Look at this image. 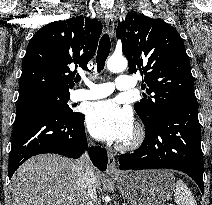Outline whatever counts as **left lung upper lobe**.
I'll return each instance as SVG.
<instances>
[{"instance_id":"left-lung-upper-lobe-1","label":"left lung upper lobe","mask_w":212,"mask_h":205,"mask_svg":"<svg viewBox=\"0 0 212 205\" xmlns=\"http://www.w3.org/2000/svg\"><path fill=\"white\" fill-rule=\"evenodd\" d=\"M129 72H140L147 96L134 109L145 127L168 108L183 101H197L190 61L182 38L168 23L129 13L116 30Z\"/></svg>"}]
</instances>
